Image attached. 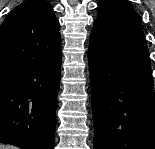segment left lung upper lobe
I'll return each mask as SVG.
<instances>
[{"label": "left lung upper lobe", "mask_w": 155, "mask_h": 149, "mask_svg": "<svg viewBox=\"0 0 155 149\" xmlns=\"http://www.w3.org/2000/svg\"><path fill=\"white\" fill-rule=\"evenodd\" d=\"M99 15L94 24H107L127 17H138L127 0H101L98 2Z\"/></svg>", "instance_id": "left-lung-upper-lobe-1"}]
</instances>
